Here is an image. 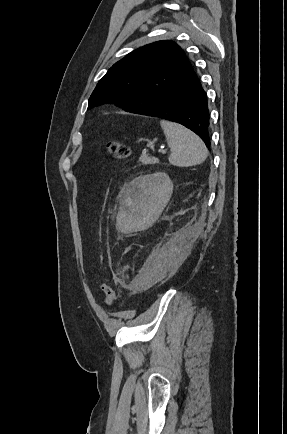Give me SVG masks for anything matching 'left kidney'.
<instances>
[{
    "instance_id": "obj_1",
    "label": "left kidney",
    "mask_w": 287,
    "mask_h": 434,
    "mask_svg": "<svg viewBox=\"0 0 287 434\" xmlns=\"http://www.w3.org/2000/svg\"><path fill=\"white\" fill-rule=\"evenodd\" d=\"M172 191L173 183L166 173L139 176L125 187L124 206L128 208L129 217L139 216L142 221L153 222L168 203Z\"/></svg>"
}]
</instances>
